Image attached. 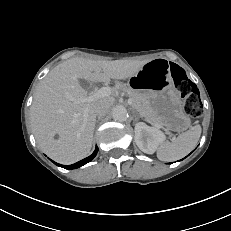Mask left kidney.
<instances>
[{
  "label": "left kidney",
  "instance_id": "obj_1",
  "mask_svg": "<svg viewBox=\"0 0 231 231\" xmlns=\"http://www.w3.org/2000/svg\"><path fill=\"white\" fill-rule=\"evenodd\" d=\"M164 140L165 135L159 129L150 127L143 122L135 125V142L144 153L153 154Z\"/></svg>",
  "mask_w": 231,
  "mask_h": 231
}]
</instances>
